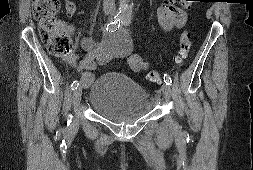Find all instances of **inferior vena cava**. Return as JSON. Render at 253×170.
<instances>
[{
	"label": "inferior vena cava",
	"mask_w": 253,
	"mask_h": 170,
	"mask_svg": "<svg viewBox=\"0 0 253 170\" xmlns=\"http://www.w3.org/2000/svg\"><path fill=\"white\" fill-rule=\"evenodd\" d=\"M103 8L105 11H112L115 8V0H103Z\"/></svg>",
	"instance_id": "1"
}]
</instances>
